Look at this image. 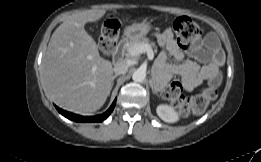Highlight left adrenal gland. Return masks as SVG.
I'll list each match as a JSON object with an SVG mask.
<instances>
[{"instance_id": "obj_1", "label": "left adrenal gland", "mask_w": 261, "mask_h": 162, "mask_svg": "<svg viewBox=\"0 0 261 162\" xmlns=\"http://www.w3.org/2000/svg\"><path fill=\"white\" fill-rule=\"evenodd\" d=\"M150 86H151L153 92H154L155 94H158V93L156 92V90H155V88H154V86H153V83H152L151 81H150Z\"/></svg>"}]
</instances>
